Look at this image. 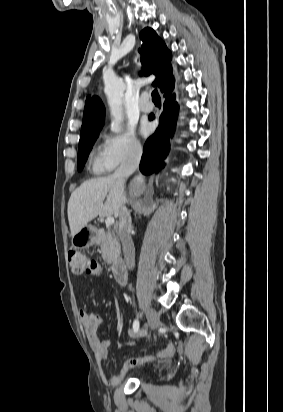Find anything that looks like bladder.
Wrapping results in <instances>:
<instances>
[{"label":"bladder","instance_id":"obj_1","mask_svg":"<svg viewBox=\"0 0 283 412\" xmlns=\"http://www.w3.org/2000/svg\"><path fill=\"white\" fill-rule=\"evenodd\" d=\"M141 375H142V372H141V371H135L134 373H132V374L130 375V377H131V378H140Z\"/></svg>","mask_w":283,"mask_h":412}]
</instances>
